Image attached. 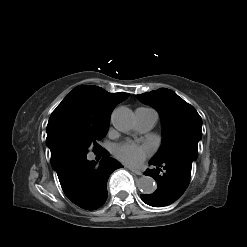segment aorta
<instances>
[{
  "mask_svg": "<svg viewBox=\"0 0 247 247\" xmlns=\"http://www.w3.org/2000/svg\"><path fill=\"white\" fill-rule=\"evenodd\" d=\"M113 126L121 132H128L135 123L133 112L124 106L115 109L111 116ZM138 189L144 194H152L156 190V184L152 177L142 176L137 181Z\"/></svg>",
  "mask_w": 247,
  "mask_h": 247,
  "instance_id": "762f6f07",
  "label": "aorta"
}]
</instances>
